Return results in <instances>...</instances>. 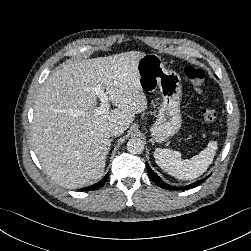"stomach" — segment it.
Instances as JSON below:
<instances>
[{"instance_id":"stomach-1","label":"stomach","mask_w":251,"mask_h":251,"mask_svg":"<svg viewBox=\"0 0 251 251\" xmlns=\"http://www.w3.org/2000/svg\"><path fill=\"white\" fill-rule=\"evenodd\" d=\"M137 71L143 92L159 91L163 98L157 118L150 127L154 141L162 143L181 128V78L175 71L167 70L157 54H145L141 57Z\"/></svg>"}]
</instances>
